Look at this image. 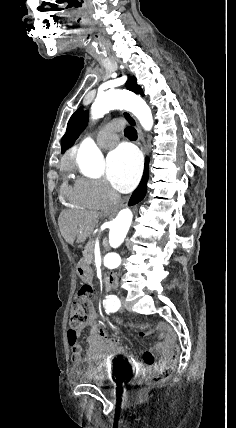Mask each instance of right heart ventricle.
I'll list each match as a JSON object with an SVG mask.
<instances>
[{"instance_id":"obj_1","label":"right heart ventricle","mask_w":236,"mask_h":428,"mask_svg":"<svg viewBox=\"0 0 236 428\" xmlns=\"http://www.w3.org/2000/svg\"><path fill=\"white\" fill-rule=\"evenodd\" d=\"M76 162L74 160H69L65 163V169L67 172H72ZM61 194L68 200L78 203L79 205L89 208V209H97L100 205L95 202L85 198L79 188L78 181L75 182L74 185H71L69 180H66L61 187Z\"/></svg>"}]
</instances>
